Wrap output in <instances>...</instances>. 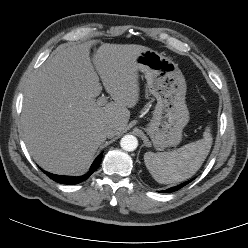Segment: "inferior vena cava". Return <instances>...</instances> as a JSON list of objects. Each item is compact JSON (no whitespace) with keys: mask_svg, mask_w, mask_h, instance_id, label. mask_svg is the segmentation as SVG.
<instances>
[{"mask_svg":"<svg viewBox=\"0 0 248 248\" xmlns=\"http://www.w3.org/2000/svg\"><path fill=\"white\" fill-rule=\"evenodd\" d=\"M117 133V129L115 126L113 125H109V126H106L104 128V134L107 138H112L116 135Z\"/></svg>","mask_w":248,"mask_h":248,"instance_id":"obj_1","label":"inferior vena cava"}]
</instances>
